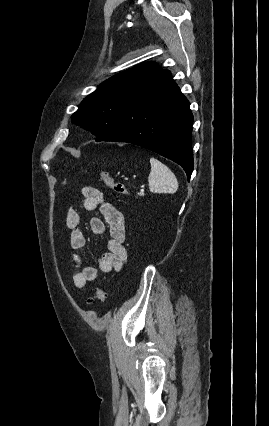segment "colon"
<instances>
[{"instance_id": "5ec220e1", "label": "colon", "mask_w": 269, "mask_h": 426, "mask_svg": "<svg viewBox=\"0 0 269 426\" xmlns=\"http://www.w3.org/2000/svg\"><path fill=\"white\" fill-rule=\"evenodd\" d=\"M100 180L102 181V183L108 187L109 189H111L112 191H114L117 194H128V191L125 187L124 184H122L121 182H117L115 181L107 171L105 170H101L98 173ZM105 299V292L103 289L99 288V287H95L93 289V293L91 296L88 297L87 302L89 305H97L100 304L104 301Z\"/></svg>"}]
</instances>
